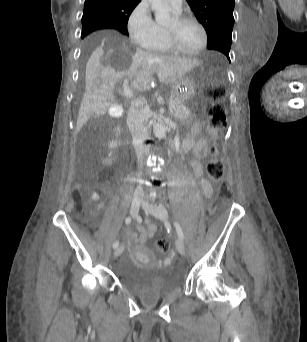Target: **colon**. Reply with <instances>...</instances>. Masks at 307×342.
Masks as SVG:
<instances>
[{
    "label": "colon",
    "instance_id": "obj_1",
    "mask_svg": "<svg viewBox=\"0 0 307 342\" xmlns=\"http://www.w3.org/2000/svg\"><path fill=\"white\" fill-rule=\"evenodd\" d=\"M208 106L206 115L209 118L210 125L217 130L225 129L228 125V118L223 107L225 94H229V87H206ZM206 173L213 181H219L224 176V165L218 158V148L213 146L210 148V157L206 163ZM157 249L161 253L169 251V243L165 239L157 242Z\"/></svg>",
    "mask_w": 307,
    "mask_h": 342
}]
</instances>
